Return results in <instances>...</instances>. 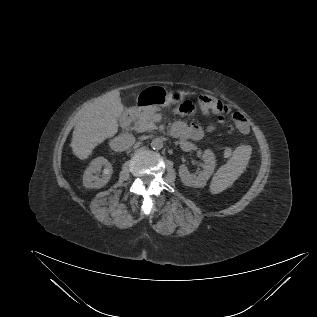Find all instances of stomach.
<instances>
[{
	"mask_svg": "<svg viewBox=\"0 0 317 317\" xmlns=\"http://www.w3.org/2000/svg\"><path fill=\"white\" fill-rule=\"evenodd\" d=\"M186 93L181 90L167 91L161 86H149L139 92L136 104L139 108L166 107L183 104Z\"/></svg>",
	"mask_w": 317,
	"mask_h": 317,
	"instance_id": "0dacf381",
	"label": "stomach"
}]
</instances>
